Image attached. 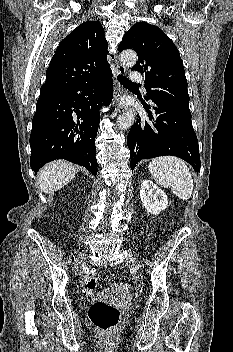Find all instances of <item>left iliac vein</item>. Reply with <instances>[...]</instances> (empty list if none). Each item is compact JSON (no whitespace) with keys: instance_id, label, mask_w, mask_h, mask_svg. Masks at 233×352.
<instances>
[{"instance_id":"4c4485c4","label":"left iliac vein","mask_w":233,"mask_h":352,"mask_svg":"<svg viewBox=\"0 0 233 352\" xmlns=\"http://www.w3.org/2000/svg\"><path fill=\"white\" fill-rule=\"evenodd\" d=\"M126 262L131 263L132 265H134L137 269H141V264L137 261V259L135 257H133L132 255H128L125 259Z\"/></svg>"}]
</instances>
